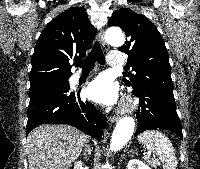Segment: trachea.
Masks as SVG:
<instances>
[{
	"instance_id": "trachea-1",
	"label": "trachea",
	"mask_w": 200,
	"mask_h": 169,
	"mask_svg": "<svg viewBox=\"0 0 200 169\" xmlns=\"http://www.w3.org/2000/svg\"><path fill=\"white\" fill-rule=\"evenodd\" d=\"M96 61L101 65L105 64V56L98 42L94 44L89 55L77 63V66L81 67L83 71H90L93 69Z\"/></svg>"
}]
</instances>
